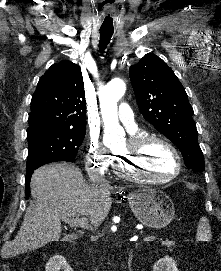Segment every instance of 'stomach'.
Segmentation results:
<instances>
[{"label":"stomach","instance_id":"0dacf381","mask_svg":"<svg viewBox=\"0 0 221 271\" xmlns=\"http://www.w3.org/2000/svg\"><path fill=\"white\" fill-rule=\"evenodd\" d=\"M129 205L137 219L148 227H166L174 217V205L164 191L136 189L129 193Z\"/></svg>","mask_w":221,"mask_h":271}]
</instances>
